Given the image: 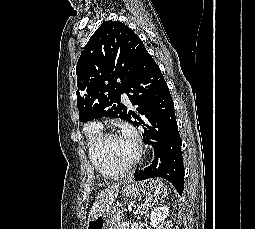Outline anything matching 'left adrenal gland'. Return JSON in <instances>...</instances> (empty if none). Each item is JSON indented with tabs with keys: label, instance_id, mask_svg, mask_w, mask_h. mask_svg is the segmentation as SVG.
<instances>
[{
	"label": "left adrenal gland",
	"instance_id": "a2214340",
	"mask_svg": "<svg viewBox=\"0 0 255 229\" xmlns=\"http://www.w3.org/2000/svg\"><path fill=\"white\" fill-rule=\"evenodd\" d=\"M152 201V199L151 198H149L148 200H146V202L144 203V204H141L138 208H139V212H140V209H145V208H147L148 206H150L151 204L149 203V202H151ZM156 199L154 200V202L152 203V205H154L155 203H156Z\"/></svg>",
	"mask_w": 255,
	"mask_h": 229
}]
</instances>
